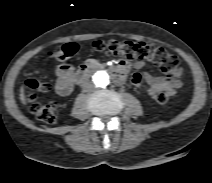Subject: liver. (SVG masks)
Returning <instances> with one entry per match:
<instances>
[{
  "label": "liver",
  "mask_w": 212,
  "mask_h": 183,
  "mask_svg": "<svg viewBox=\"0 0 212 183\" xmlns=\"http://www.w3.org/2000/svg\"><path fill=\"white\" fill-rule=\"evenodd\" d=\"M20 100H21L22 104H24V105L27 104V101L25 98V93H24V86L21 87Z\"/></svg>",
  "instance_id": "obj_1"
}]
</instances>
